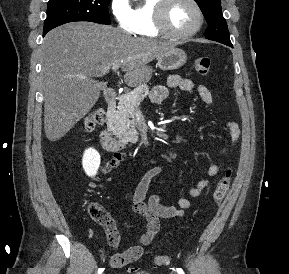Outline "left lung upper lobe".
<instances>
[{
  "mask_svg": "<svg viewBox=\"0 0 289 274\" xmlns=\"http://www.w3.org/2000/svg\"><path fill=\"white\" fill-rule=\"evenodd\" d=\"M195 1L209 25L205 32L206 38L223 44L231 43L227 23L222 15L220 0Z\"/></svg>",
  "mask_w": 289,
  "mask_h": 274,
  "instance_id": "obj_1",
  "label": "left lung upper lobe"
}]
</instances>
